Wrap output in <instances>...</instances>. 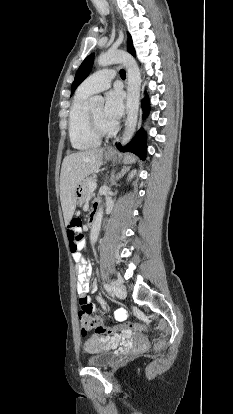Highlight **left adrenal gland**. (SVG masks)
Listing matches in <instances>:
<instances>
[{
    "instance_id": "left-adrenal-gland-1",
    "label": "left adrenal gland",
    "mask_w": 233,
    "mask_h": 414,
    "mask_svg": "<svg viewBox=\"0 0 233 414\" xmlns=\"http://www.w3.org/2000/svg\"><path fill=\"white\" fill-rule=\"evenodd\" d=\"M130 169V167H126L124 166L121 171L115 175V172L112 173L111 175V183L115 184V180H119L120 178H122L124 176V174Z\"/></svg>"
}]
</instances>
